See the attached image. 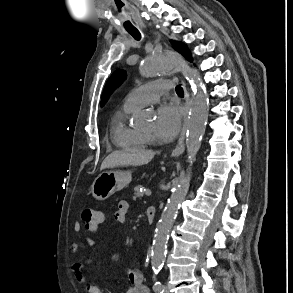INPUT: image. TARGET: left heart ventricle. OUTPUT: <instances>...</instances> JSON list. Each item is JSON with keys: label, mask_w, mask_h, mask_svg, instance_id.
Here are the masks:
<instances>
[{"label": "left heart ventricle", "mask_w": 293, "mask_h": 293, "mask_svg": "<svg viewBox=\"0 0 293 293\" xmlns=\"http://www.w3.org/2000/svg\"><path fill=\"white\" fill-rule=\"evenodd\" d=\"M153 132V127H150L149 129L146 130L147 134H151Z\"/></svg>", "instance_id": "left-heart-ventricle-1"}]
</instances>
